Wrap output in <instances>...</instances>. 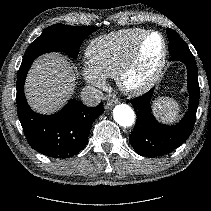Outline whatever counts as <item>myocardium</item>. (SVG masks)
Returning a JSON list of instances; mask_svg holds the SVG:
<instances>
[{
    "label": "myocardium",
    "instance_id": "obj_1",
    "mask_svg": "<svg viewBox=\"0 0 211 211\" xmlns=\"http://www.w3.org/2000/svg\"><path fill=\"white\" fill-rule=\"evenodd\" d=\"M158 35L161 39L162 51L160 58L153 72L143 81L133 84L129 79L136 69L141 55L142 47L146 39L151 35ZM168 60V44L165 36L157 30H146L136 41L131 52L121 64L115 74V80L118 87L126 94L138 96L152 89L160 80Z\"/></svg>",
    "mask_w": 211,
    "mask_h": 211
}]
</instances>
